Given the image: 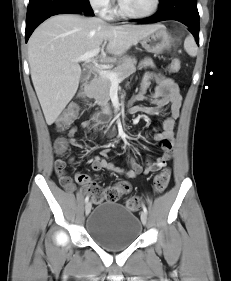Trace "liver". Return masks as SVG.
<instances>
[{
	"instance_id": "liver-1",
	"label": "liver",
	"mask_w": 231,
	"mask_h": 281,
	"mask_svg": "<svg viewBox=\"0 0 231 281\" xmlns=\"http://www.w3.org/2000/svg\"><path fill=\"white\" fill-rule=\"evenodd\" d=\"M162 25L112 26L99 18L56 15L43 22L28 42L31 79L46 123L53 124L74 97L81 77L75 60L87 52L102 49L101 62L113 63L132 45Z\"/></svg>"
}]
</instances>
